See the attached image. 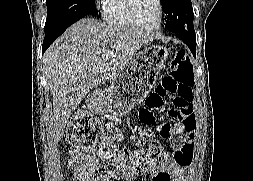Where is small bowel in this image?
<instances>
[{
    "instance_id": "obj_1",
    "label": "small bowel",
    "mask_w": 253,
    "mask_h": 181,
    "mask_svg": "<svg viewBox=\"0 0 253 181\" xmlns=\"http://www.w3.org/2000/svg\"><path fill=\"white\" fill-rule=\"evenodd\" d=\"M111 136L123 140L121 131L113 124L108 126ZM172 133L183 134L184 137L175 141V155L172 160H165L154 167H151L152 178L149 181H187L189 168L194 155V137L192 118L189 116L184 122H177L172 125ZM68 165L73 177L78 181H112L119 176L113 171L95 172L97 158L92 153H84L78 148H71L68 152ZM136 170L127 168L120 175L125 180L131 181Z\"/></svg>"
}]
</instances>
